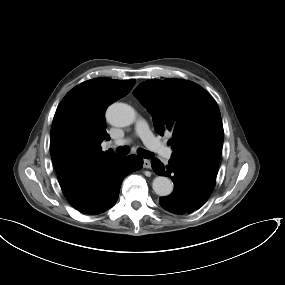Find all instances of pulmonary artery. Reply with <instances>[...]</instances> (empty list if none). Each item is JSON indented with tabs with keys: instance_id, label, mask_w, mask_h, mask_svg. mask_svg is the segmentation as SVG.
I'll list each match as a JSON object with an SVG mask.
<instances>
[{
	"instance_id": "pulmonary-artery-1",
	"label": "pulmonary artery",
	"mask_w": 285,
	"mask_h": 285,
	"mask_svg": "<svg viewBox=\"0 0 285 285\" xmlns=\"http://www.w3.org/2000/svg\"><path fill=\"white\" fill-rule=\"evenodd\" d=\"M136 131L149 149L160 154L166 160L172 158L174 154L173 149L169 148L159 138L155 137L144 121H140L137 123ZM126 142V140H116L112 143V145L119 146L125 144Z\"/></svg>"
}]
</instances>
